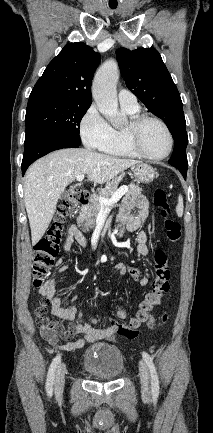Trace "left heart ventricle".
Here are the masks:
<instances>
[{
  "label": "left heart ventricle",
  "mask_w": 213,
  "mask_h": 433,
  "mask_svg": "<svg viewBox=\"0 0 213 433\" xmlns=\"http://www.w3.org/2000/svg\"><path fill=\"white\" fill-rule=\"evenodd\" d=\"M140 143L149 154L160 156L167 152L169 140L164 129L156 122H146L140 131Z\"/></svg>",
  "instance_id": "b2bd125f"
}]
</instances>
